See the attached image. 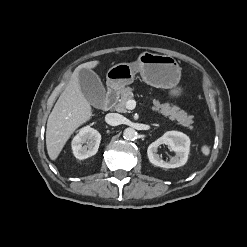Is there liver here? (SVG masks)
I'll return each mask as SVG.
<instances>
[{
    "instance_id": "1",
    "label": "liver",
    "mask_w": 247,
    "mask_h": 247,
    "mask_svg": "<svg viewBox=\"0 0 247 247\" xmlns=\"http://www.w3.org/2000/svg\"><path fill=\"white\" fill-rule=\"evenodd\" d=\"M98 64L99 61L86 62L74 71L48 117L46 147L53 161L57 159L73 132L93 115L90 103L81 91L79 70L83 68L91 70Z\"/></svg>"
}]
</instances>
